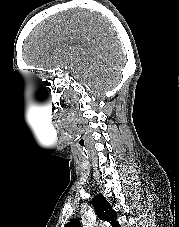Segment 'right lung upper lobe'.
Returning <instances> with one entry per match:
<instances>
[{
  "instance_id": "obj_1",
  "label": "right lung upper lobe",
  "mask_w": 179,
  "mask_h": 227,
  "mask_svg": "<svg viewBox=\"0 0 179 227\" xmlns=\"http://www.w3.org/2000/svg\"><path fill=\"white\" fill-rule=\"evenodd\" d=\"M92 205L99 219L107 221L112 227H119V223L116 221V211L112 209L111 205L102 194L97 195L92 200ZM65 227H81L80 221L78 219H72Z\"/></svg>"
}]
</instances>
